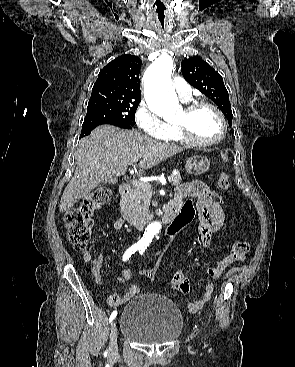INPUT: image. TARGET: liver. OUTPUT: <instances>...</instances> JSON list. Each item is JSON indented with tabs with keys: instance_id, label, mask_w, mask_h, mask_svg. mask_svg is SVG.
<instances>
[{
	"instance_id": "6515ba94",
	"label": "liver",
	"mask_w": 295,
	"mask_h": 367,
	"mask_svg": "<svg viewBox=\"0 0 295 367\" xmlns=\"http://www.w3.org/2000/svg\"><path fill=\"white\" fill-rule=\"evenodd\" d=\"M182 151V147L157 142L134 130L98 126L79 141L75 173L63 192L59 211L71 209L100 183L124 175L135 159L142 158L138 164L140 173Z\"/></svg>"
}]
</instances>
